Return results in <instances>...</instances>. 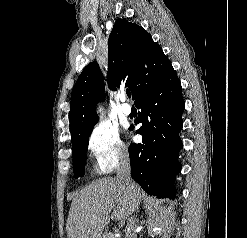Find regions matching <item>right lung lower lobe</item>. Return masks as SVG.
<instances>
[{
  "mask_svg": "<svg viewBox=\"0 0 247 238\" xmlns=\"http://www.w3.org/2000/svg\"><path fill=\"white\" fill-rule=\"evenodd\" d=\"M141 109L135 124L142 143L129 146L132 178L149 195L175 196V176L181 170L178 152L183 144L179 137L185 103L181 83L171 67L162 79L135 100ZM133 125L130 130H133Z\"/></svg>",
  "mask_w": 247,
  "mask_h": 238,
  "instance_id": "1",
  "label": "right lung lower lobe"
}]
</instances>
